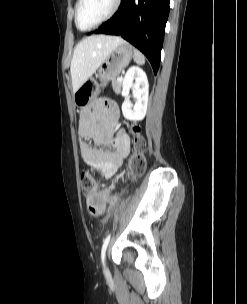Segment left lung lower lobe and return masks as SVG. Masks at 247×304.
I'll list each match as a JSON object with an SVG mask.
<instances>
[{"label":"left lung lower lobe","mask_w":247,"mask_h":304,"mask_svg":"<svg viewBox=\"0 0 247 304\" xmlns=\"http://www.w3.org/2000/svg\"><path fill=\"white\" fill-rule=\"evenodd\" d=\"M169 3L170 0H121L119 10L94 33L120 35L148 58L156 74Z\"/></svg>","instance_id":"obj_1"}]
</instances>
